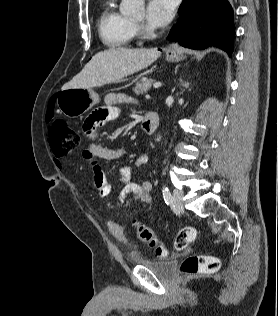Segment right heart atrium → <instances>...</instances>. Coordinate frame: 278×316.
Here are the masks:
<instances>
[{"label":"right heart atrium","mask_w":278,"mask_h":316,"mask_svg":"<svg viewBox=\"0 0 278 316\" xmlns=\"http://www.w3.org/2000/svg\"><path fill=\"white\" fill-rule=\"evenodd\" d=\"M136 29H137V25H134V30L136 31Z\"/></svg>","instance_id":"obj_1"}]
</instances>
